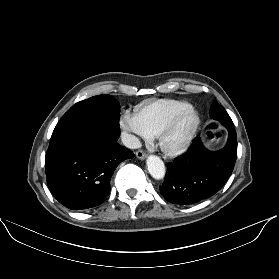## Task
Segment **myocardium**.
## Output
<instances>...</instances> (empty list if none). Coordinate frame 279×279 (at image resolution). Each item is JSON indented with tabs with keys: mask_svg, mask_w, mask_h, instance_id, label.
<instances>
[{
	"mask_svg": "<svg viewBox=\"0 0 279 279\" xmlns=\"http://www.w3.org/2000/svg\"><path fill=\"white\" fill-rule=\"evenodd\" d=\"M193 115L194 121L193 124L188 129L186 135L182 139V141L174 146L167 144L168 137L172 134L173 130L177 126V124L187 115ZM200 125V117L198 112L192 106L181 110L176 113L167 123L166 125L159 131L157 135L158 146L168 156H177L184 153L190 146L195 133Z\"/></svg>",
	"mask_w": 279,
	"mask_h": 279,
	"instance_id": "1",
	"label": "myocardium"
}]
</instances>
